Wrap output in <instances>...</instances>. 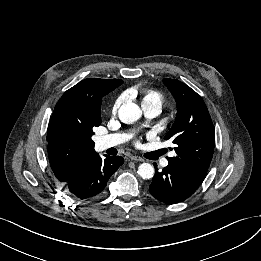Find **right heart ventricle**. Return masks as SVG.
Returning <instances> with one entry per match:
<instances>
[{"label": "right heart ventricle", "instance_id": "e07e8e85", "mask_svg": "<svg viewBox=\"0 0 261 261\" xmlns=\"http://www.w3.org/2000/svg\"><path fill=\"white\" fill-rule=\"evenodd\" d=\"M128 93H131V91H128ZM163 103H164V96L158 91L149 90L143 94V101H142L143 107L155 106L161 109Z\"/></svg>", "mask_w": 261, "mask_h": 261}]
</instances>
